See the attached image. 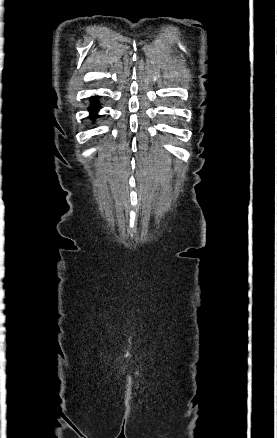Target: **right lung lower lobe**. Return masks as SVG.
<instances>
[{"instance_id":"1","label":"right lung lower lobe","mask_w":277,"mask_h":438,"mask_svg":"<svg viewBox=\"0 0 277 438\" xmlns=\"http://www.w3.org/2000/svg\"><path fill=\"white\" fill-rule=\"evenodd\" d=\"M96 97H92V100H94ZM99 109V106L97 104L96 101L93 102L92 107L89 109L90 112L92 113L91 118H95L96 115H94L96 113V111Z\"/></svg>"}]
</instances>
